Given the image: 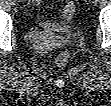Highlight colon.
Wrapping results in <instances>:
<instances>
[{"mask_svg": "<svg viewBox=\"0 0 111 106\" xmlns=\"http://www.w3.org/2000/svg\"><path fill=\"white\" fill-rule=\"evenodd\" d=\"M75 12V6L73 2H68L63 10L62 19L64 22L72 20ZM69 55L66 52H61L55 57V63L58 65H64L68 62Z\"/></svg>", "mask_w": 111, "mask_h": 106, "instance_id": "5ec220e1", "label": "colon"}]
</instances>
